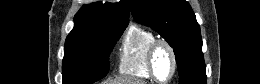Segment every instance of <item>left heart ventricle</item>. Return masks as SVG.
Returning a JSON list of instances; mask_svg holds the SVG:
<instances>
[{
    "instance_id": "1",
    "label": "left heart ventricle",
    "mask_w": 260,
    "mask_h": 84,
    "mask_svg": "<svg viewBox=\"0 0 260 84\" xmlns=\"http://www.w3.org/2000/svg\"><path fill=\"white\" fill-rule=\"evenodd\" d=\"M172 69L171 56L168 50L164 47L160 48L155 56L156 75L160 80L166 79Z\"/></svg>"
}]
</instances>
